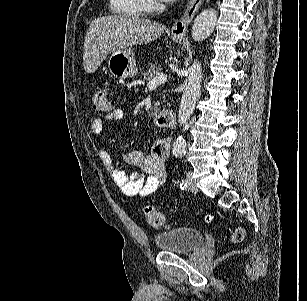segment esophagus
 <instances>
[{
  "label": "esophagus",
  "instance_id": "34e87169",
  "mask_svg": "<svg viewBox=\"0 0 307 301\" xmlns=\"http://www.w3.org/2000/svg\"><path fill=\"white\" fill-rule=\"evenodd\" d=\"M203 2L204 0H189L182 17L172 25L170 32L173 39L183 40L185 38L189 25Z\"/></svg>",
  "mask_w": 307,
  "mask_h": 301
}]
</instances>
